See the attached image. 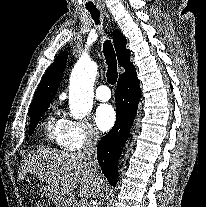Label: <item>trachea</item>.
<instances>
[{
  "mask_svg": "<svg viewBox=\"0 0 206 207\" xmlns=\"http://www.w3.org/2000/svg\"><path fill=\"white\" fill-rule=\"evenodd\" d=\"M91 13V17L94 19L95 23L98 25L100 23L99 17L100 14L98 11H89ZM103 53L106 59V63L108 65L107 70V81L109 84L114 85L117 82L118 72H117V60L116 54L113 48V45L110 41H105L103 47Z\"/></svg>",
  "mask_w": 206,
  "mask_h": 207,
  "instance_id": "obj_1",
  "label": "trachea"
}]
</instances>
